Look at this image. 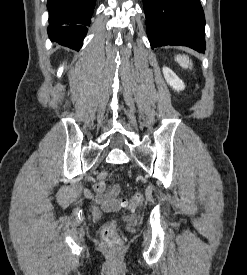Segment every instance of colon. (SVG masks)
<instances>
[{"instance_id": "5ec220e1", "label": "colon", "mask_w": 247, "mask_h": 275, "mask_svg": "<svg viewBox=\"0 0 247 275\" xmlns=\"http://www.w3.org/2000/svg\"><path fill=\"white\" fill-rule=\"evenodd\" d=\"M108 177L107 172H101L98 175V182L95 186V189L97 191H105L106 185L105 181ZM144 202V195L142 192L135 193L130 202L128 204H125L130 210H133L139 206H141ZM102 239L105 242L106 245L115 247L119 244V239L117 235V224L115 222H111L108 225H106L102 230Z\"/></svg>"}]
</instances>
